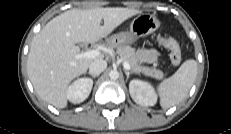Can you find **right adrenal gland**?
<instances>
[{
	"label": "right adrenal gland",
	"mask_w": 231,
	"mask_h": 134,
	"mask_svg": "<svg viewBox=\"0 0 231 134\" xmlns=\"http://www.w3.org/2000/svg\"><path fill=\"white\" fill-rule=\"evenodd\" d=\"M90 76H92L93 78H96V77H98V75H93V74H91L90 72L88 73Z\"/></svg>",
	"instance_id": "1"
}]
</instances>
